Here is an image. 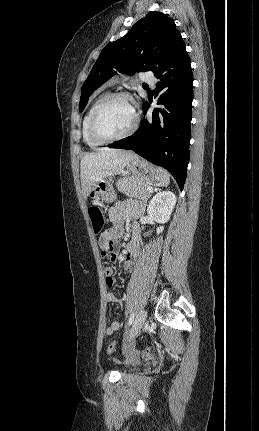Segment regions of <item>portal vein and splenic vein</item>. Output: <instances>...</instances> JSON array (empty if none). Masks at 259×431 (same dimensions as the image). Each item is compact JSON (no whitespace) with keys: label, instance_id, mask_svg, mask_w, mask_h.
I'll list each match as a JSON object with an SVG mask.
<instances>
[{"label":"portal vein and splenic vein","instance_id":"18ae733b","mask_svg":"<svg viewBox=\"0 0 259 431\" xmlns=\"http://www.w3.org/2000/svg\"><path fill=\"white\" fill-rule=\"evenodd\" d=\"M153 191V188L152 187H149L148 188V192H152Z\"/></svg>","mask_w":259,"mask_h":431}]
</instances>
